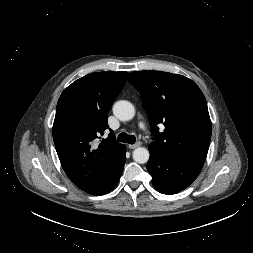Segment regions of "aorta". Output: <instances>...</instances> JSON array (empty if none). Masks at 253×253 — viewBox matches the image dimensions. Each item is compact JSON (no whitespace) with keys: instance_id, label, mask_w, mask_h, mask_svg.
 I'll use <instances>...</instances> for the list:
<instances>
[{"instance_id":"aorta-1","label":"aorta","mask_w":253,"mask_h":253,"mask_svg":"<svg viewBox=\"0 0 253 253\" xmlns=\"http://www.w3.org/2000/svg\"><path fill=\"white\" fill-rule=\"evenodd\" d=\"M113 114L120 121H129L135 115V108L131 102L126 100H120L114 104ZM149 157V151L144 147H138L133 151V160L139 164L147 163Z\"/></svg>"}]
</instances>
